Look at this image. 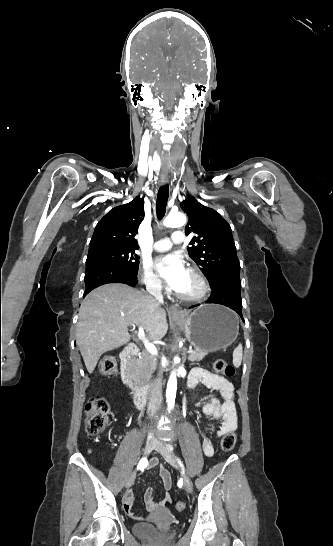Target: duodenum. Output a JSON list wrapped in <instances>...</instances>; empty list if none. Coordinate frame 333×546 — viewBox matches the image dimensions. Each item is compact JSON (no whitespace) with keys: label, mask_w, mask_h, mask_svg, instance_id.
I'll return each instance as SVG.
<instances>
[{"label":"duodenum","mask_w":333,"mask_h":546,"mask_svg":"<svg viewBox=\"0 0 333 546\" xmlns=\"http://www.w3.org/2000/svg\"><path fill=\"white\" fill-rule=\"evenodd\" d=\"M139 354L135 345H128L121 355V378L131 395L133 403L143 408L149 401L152 392L139 385L135 379L134 360Z\"/></svg>","instance_id":"duodenum-1"}]
</instances>
